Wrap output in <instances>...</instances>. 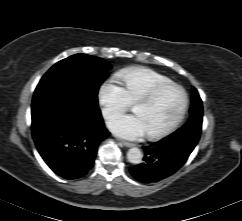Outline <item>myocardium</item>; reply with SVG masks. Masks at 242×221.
<instances>
[{
	"mask_svg": "<svg viewBox=\"0 0 242 221\" xmlns=\"http://www.w3.org/2000/svg\"><path fill=\"white\" fill-rule=\"evenodd\" d=\"M170 87L177 88L182 94L183 102H182L181 110H180L178 116L176 117V119L168 127H166L165 129H163L161 131H158V132L148 133L147 137L150 140H158V139L164 138V137L168 136L169 134H171L172 132H174L178 128V126L183 121V119L187 113V110H188V106H189L188 93L182 85H180L176 82L169 81V82H165V83L156 85L151 90H149L146 94H144L143 96H141L139 99H137L134 102L133 108L136 105L149 104V103L153 102L156 99V97L163 90L170 88Z\"/></svg>",
	"mask_w": 242,
	"mask_h": 221,
	"instance_id": "myocardium-1",
	"label": "myocardium"
}]
</instances>
